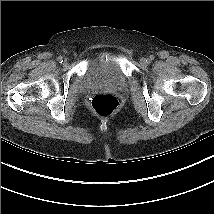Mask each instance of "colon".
Wrapping results in <instances>:
<instances>
[{"label":"colon","mask_w":214,"mask_h":214,"mask_svg":"<svg viewBox=\"0 0 214 214\" xmlns=\"http://www.w3.org/2000/svg\"><path fill=\"white\" fill-rule=\"evenodd\" d=\"M119 106L117 97L111 93H100L92 99L94 111L102 116L112 114Z\"/></svg>","instance_id":"1"}]
</instances>
